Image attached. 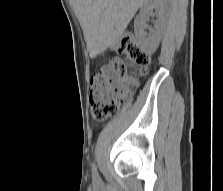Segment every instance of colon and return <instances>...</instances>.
<instances>
[{
    "label": "colon",
    "instance_id": "1",
    "mask_svg": "<svg viewBox=\"0 0 223 191\" xmlns=\"http://www.w3.org/2000/svg\"><path fill=\"white\" fill-rule=\"evenodd\" d=\"M114 49L125 54L141 71H146L150 57L141 51L131 35L121 36ZM126 71L123 60L114 57L92 77L89 100L95 121L103 122L118 111L123 96L120 82Z\"/></svg>",
    "mask_w": 223,
    "mask_h": 191
}]
</instances>
